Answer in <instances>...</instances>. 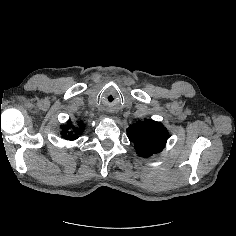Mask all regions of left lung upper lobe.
<instances>
[{
    "label": "left lung upper lobe",
    "mask_w": 236,
    "mask_h": 236,
    "mask_svg": "<svg viewBox=\"0 0 236 236\" xmlns=\"http://www.w3.org/2000/svg\"><path fill=\"white\" fill-rule=\"evenodd\" d=\"M127 134L137 153L143 157L161 152L168 138V131L162 123L146 119L130 125Z\"/></svg>",
    "instance_id": "left-lung-upper-lobe-1"
}]
</instances>
